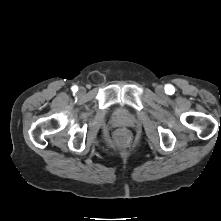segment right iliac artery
Returning a JSON list of instances; mask_svg holds the SVG:
<instances>
[{
  "instance_id": "1",
  "label": "right iliac artery",
  "mask_w": 221,
  "mask_h": 221,
  "mask_svg": "<svg viewBox=\"0 0 221 221\" xmlns=\"http://www.w3.org/2000/svg\"><path fill=\"white\" fill-rule=\"evenodd\" d=\"M77 90H78V87H77V86H73V87H72V91H73V92H76Z\"/></svg>"
}]
</instances>
